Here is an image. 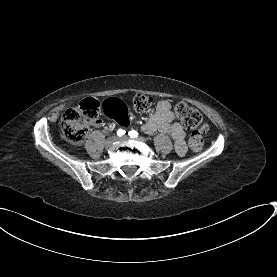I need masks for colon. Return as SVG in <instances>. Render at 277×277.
<instances>
[{"instance_id":"obj_1","label":"colon","mask_w":277,"mask_h":277,"mask_svg":"<svg viewBox=\"0 0 277 277\" xmlns=\"http://www.w3.org/2000/svg\"><path fill=\"white\" fill-rule=\"evenodd\" d=\"M153 102V98L145 94H137L133 98V106L137 111L152 107ZM175 112L183 126L190 130L189 148L194 152L202 150L204 147L203 135L207 132L208 127L201 112L182 102L176 105ZM98 116L99 104L95 101L94 95H89L88 99L81 103V108L69 109L62 115L60 122L62 134L68 141L80 143L85 139L89 125Z\"/></svg>"}]
</instances>
